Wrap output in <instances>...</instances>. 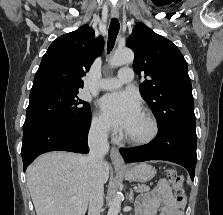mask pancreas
Masks as SVG:
<instances>
[{
	"label": "pancreas",
	"instance_id": "1",
	"mask_svg": "<svg viewBox=\"0 0 223 215\" xmlns=\"http://www.w3.org/2000/svg\"><path fill=\"white\" fill-rule=\"evenodd\" d=\"M137 191H149V185H145V183H143V185H140Z\"/></svg>",
	"mask_w": 223,
	"mask_h": 215
}]
</instances>
